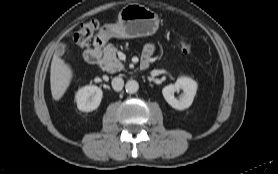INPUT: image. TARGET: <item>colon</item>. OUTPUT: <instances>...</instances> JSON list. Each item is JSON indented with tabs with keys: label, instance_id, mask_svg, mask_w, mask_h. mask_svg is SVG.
Returning <instances> with one entry per match:
<instances>
[{
	"label": "colon",
	"instance_id": "5ec220e1",
	"mask_svg": "<svg viewBox=\"0 0 278 174\" xmlns=\"http://www.w3.org/2000/svg\"><path fill=\"white\" fill-rule=\"evenodd\" d=\"M98 22L95 20H91L87 23H84L81 25V27L78 29L76 34L74 35V42L78 45H85L89 42V40L92 38L96 30L98 29ZM180 45L182 50L185 53H191L192 46L191 44L186 41L185 39L180 40Z\"/></svg>",
	"mask_w": 278,
	"mask_h": 174
}]
</instances>
